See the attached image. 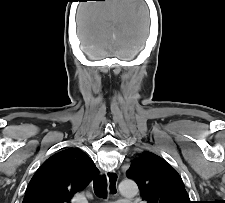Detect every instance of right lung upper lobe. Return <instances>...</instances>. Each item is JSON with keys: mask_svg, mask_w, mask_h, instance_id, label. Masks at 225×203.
Returning a JSON list of instances; mask_svg holds the SVG:
<instances>
[{"mask_svg": "<svg viewBox=\"0 0 225 203\" xmlns=\"http://www.w3.org/2000/svg\"><path fill=\"white\" fill-rule=\"evenodd\" d=\"M97 173L94 162L81 149L62 150L39 167L22 203H70Z\"/></svg>", "mask_w": 225, "mask_h": 203, "instance_id": "cb5924a9", "label": "right lung upper lobe"}]
</instances>
